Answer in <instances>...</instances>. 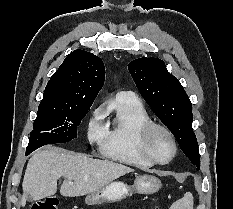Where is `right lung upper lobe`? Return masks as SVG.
Returning a JSON list of instances; mask_svg holds the SVG:
<instances>
[{"label": "right lung upper lobe", "mask_w": 233, "mask_h": 209, "mask_svg": "<svg viewBox=\"0 0 233 209\" xmlns=\"http://www.w3.org/2000/svg\"><path fill=\"white\" fill-rule=\"evenodd\" d=\"M104 80L103 61L90 52L75 50L48 81L38 112L59 113L92 105Z\"/></svg>", "instance_id": "obj_1"}]
</instances>
